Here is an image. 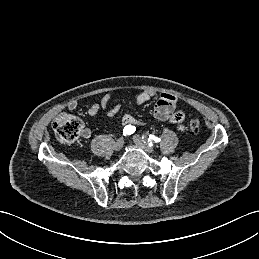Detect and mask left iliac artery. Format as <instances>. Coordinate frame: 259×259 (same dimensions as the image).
Instances as JSON below:
<instances>
[{
	"label": "left iliac artery",
	"instance_id": "obj_1",
	"mask_svg": "<svg viewBox=\"0 0 259 259\" xmlns=\"http://www.w3.org/2000/svg\"><path fill=\"white\" fill-rule=\"evenodd\" d=\"M148 142H149V146H152V142H160V138L154 136V135H150L149 136V139H148Z\"/></svg>",
	"mask_w": 259,
	"mask_h": 259
}]
</instances>
